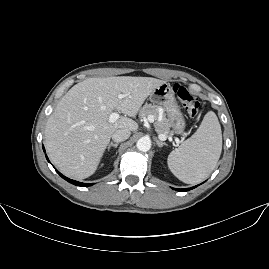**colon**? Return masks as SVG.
<instances>
[{"label":"colon","mask_w":269,"mask_h":269,"mask_svg":"<svg viewBox=\"0 0 269 269\" xmlns=\"http://www.w3.org/2000/svg\"><path fill=\"white\" fill-rule=\"evenodd\" d=\"M173 91L191 117H197L200 114L201 102L199 99L190 93L182 84L176 83L173 86Z\"/></svg>","instance_id":"colon-1"}]
</instances>
